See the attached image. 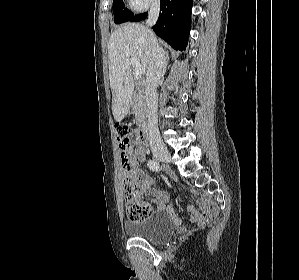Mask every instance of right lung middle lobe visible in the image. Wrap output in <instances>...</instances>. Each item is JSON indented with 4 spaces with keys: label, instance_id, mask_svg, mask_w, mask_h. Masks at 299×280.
I'll list each match as a JSON object with an SVG mask.
<instances>
[{
    "label": "right lung middle lobe",
    "instance_id": "obj_1",
    "mask_svg": "<svg viewBox=\"0 0 299 280\" xmlns=\"http://www.w3.org/2000/svg\"><path fill=\"white\" fill-rule=\"evenodd\" d=\"M114 22L120 24L129 21L134 13L125 8L123 0H113Z\"/></svg>",
    "mask_w": 299,
    "mask_h": 280
}]
</instances>
